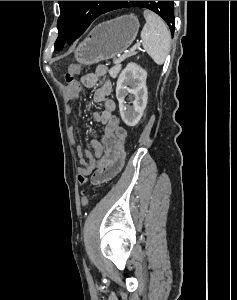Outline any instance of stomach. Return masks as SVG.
<instances>
[{"label":"stomach","mask_w":237,"mask_h":300,"mask_svg":"<svg viewBox=\"0 0 237 300\" xmlns=\"http://www.w3.org/2000/svg\"><path fill=\"white\" fill-rule=\"evenodd\" d=\"M138 31L139 21L135 15H123L101 23L78 45L74 57L81 65H94L118 57L133 43Z\"/></svg>","instance_id":"stomach-1"}]
</instances>
